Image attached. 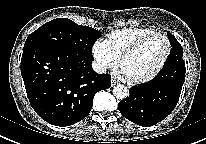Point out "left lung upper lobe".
Here are the masks:
<instances>
[{"label":"left lung upper lobe","mask_w":206,"mask_h":144,"mask_svg":"<svg viewBox=\"0 0 206 144\" xmlns=\"http://www.w3.org/2000/svg\"><path fill=\"white\" fill-rule=\"evenodd\" d=\"M167 35H168V38L170 40L172 48H171L170 55L168 56L165 65H167L169 63H175V61H179V62L184 63V60L182 58V56H183L182 46L180 45V43L176 40V38L170 32H167Z\"/></svg>","instance_id":"5c2ea615"}]
</instances>
